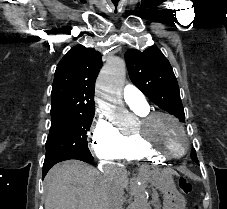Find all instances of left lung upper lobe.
<instances>
[{
    "mask_svg": "<svg viewBox=\"0 0 227 209\" xmlns=\"http://www.w3.org/2000/svg\"><path fill=\"white\" fill-rule=\"evenodd\" d=\"M125 60L131 81L157 106L185 122L178 83L163 53L157 47L130 49ZM191 158L198 163L194 149Z\"/></svg>",
    "mask_w": 227,
    "mask_h": 209,
    "instance_id": "obj_1",
    "label": "left lung upper lobe"
}]
</instances>
